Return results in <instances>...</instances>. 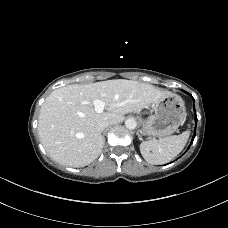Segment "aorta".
<instances>
[{
	"instance_id": "obj_1",
	"label": "aorta",
	"mask_w": 228,
	"mask_h": 228,
	"mask_svg": "<svg viewBox=\"0 0 228 228\" xmlns=\"http://www.w3.org/2000/svg\"><path fill=\"white\" fill-rule=\"evenodd\" d=\"M125 126H126V128L129 129V130H133V129L136 128L137 122H136L135 119L129 118V119H127V120L125 121Z\"/></svg>"
}]
</instances>
